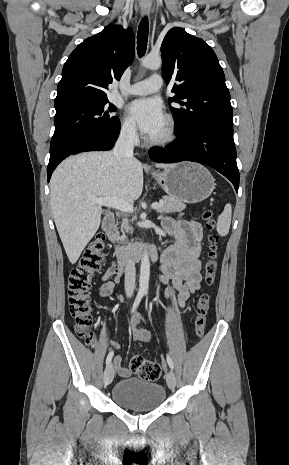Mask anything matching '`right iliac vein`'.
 <instances>
[{"label": "right iliac vein", "instance_id": "right-iliac-vein-1", "mask_svg": "<svg viewBox=\"0 0 289 465\" xmlns=\"http://www.w3.org/2000/svg\"><path fill=\"white\" fill-rule=\"evenodd\" d=\"M114 368L113 365L110 363L107 365L105 371H104V383L105 385H109L113 378H114Z\"/></svg>", "mask_w": 289, "mask_h": 465}]
</instances>
